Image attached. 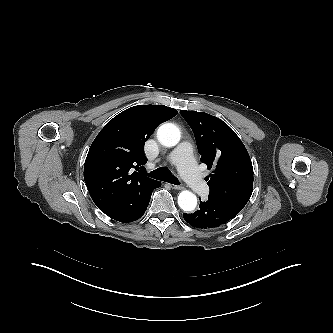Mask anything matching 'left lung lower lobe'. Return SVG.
<instances>
[{
    "mask_svg": "<svg viewBox=\"0 0 333 333\" xmlns=\"http://www.w3.org/2000/svg\"><path fill=\"white\" fill-rule=\"evenodd\" d=\"M199 207L200 209L192 214H183L185 221L197 228L218 227L238 214V212L211 196H208L206 202H200Z\"/></svg>",
    "mask_w": 333,
    "mask_h": 333,
    "instance_id": "1",
    "label": "left lung lower lobe"
}]
</instances>
